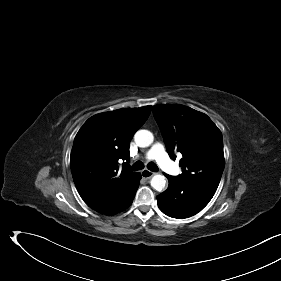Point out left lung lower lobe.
<instances>
[{"label":"left lung lower lobe","mask_w":281,"mask_h":281,"mask_svg":"<svg viewBox=\"0 0 281 281\" xmlns=\"http://www.w3.org/2000/svg\"><path fill=\"white\" fill-rule=\"evenodd\" d=\"M169 186L157 196L160 210L169 217L183 219L200 212L212 199L215 191L194 181L181 180L165 174Z\"/></svg>","instance_id":"1"}]
</instances>
